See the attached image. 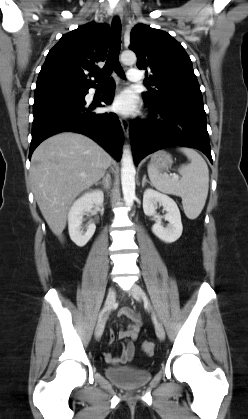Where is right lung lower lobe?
Wrapping results in <instances>:
<instances>
[{
	"label": "right lung lower lobe",
	"instance_id": "1",
	"mask_svg": "<svg viewBox=\"0 0 248 419\" xmlns=\"http://www.w3.org/2000/svg\"><path fill=\"white\" fill-rule=\"evenodd\" d=\"M114 88V82L110 80L101 97L102 102L111 104ZM87 92L82 95L51 94L34 98L29 157L34 149L51 135L74 131L91 137L116 160H120L123 131L119 119L114 113L93 112V109L103 105L100 102L87 104L84 98Z\"/></svg>",
	"mask_w": 248,
	"mask_h": 419
}]
</instances>
